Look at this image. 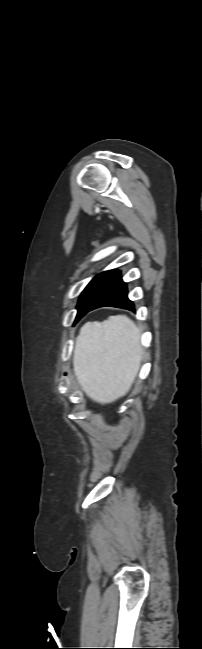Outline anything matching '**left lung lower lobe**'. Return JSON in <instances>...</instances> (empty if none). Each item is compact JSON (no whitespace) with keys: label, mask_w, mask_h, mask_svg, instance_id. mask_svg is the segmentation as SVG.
<instances>
[{"label":"left lung lower lobe","mask_w":202,"mask_h":649,"mask_svg":"<svg viewBox=\"0 0 202 649\" xmlns=\"http://www.w3.org/2000/svg\"><path fill=\"white\" fill-rule=\"evenodd\" d=\"M127 295L126 283L122 281L121 273L117 272L105 289L85 308L82 317L87 312L104 306L118 307L135 312L134 304L128 299Z\"/></svg>","instance_id":"left-lung-lower-lobe-1"}]
</instances>
